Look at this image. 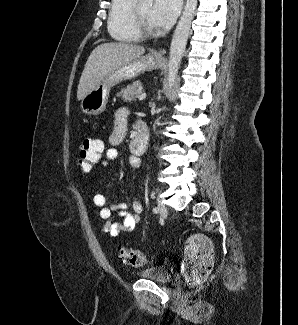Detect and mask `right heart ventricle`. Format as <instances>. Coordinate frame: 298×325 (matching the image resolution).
I'll return each instance as SVG.
<instances>
[{
	"label": "right heart ventricle",
	"instance_id": "obj_1",
	"mask_svg": "<svg viewBox=\"0 0 298 325\" xmlns=\"http://www.w3.org/2000/svg\"><path fill=\"white\" fill-rule=\"evenodd\" d=\"M131 1L115 0L110 6L107 19V31L110 37L115 38V41H139L128 26Z\"/></svg>",
	"mask_w": 298,
	"mask_h": 325
}]
</instances>
